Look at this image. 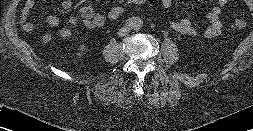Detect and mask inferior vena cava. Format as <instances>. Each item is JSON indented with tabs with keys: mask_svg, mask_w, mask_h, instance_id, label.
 <instances>
[{
	"mask_svg": "<svg viewBox=\"0 0 253 131\" xmlns=\"http://www.w3.org/2000/svg\"><path fill=\"white\" fill-rule=\"evenodd\" d=\"M129 32H130V30L128 28H121L118 32V35L123 37V36L128 35Z\"/></svg>",
	"mask_w": 253,
	"mask_h": 131,
	"instance_id": "1",
	"label": "inferior vena cava"
}]
</instances>
